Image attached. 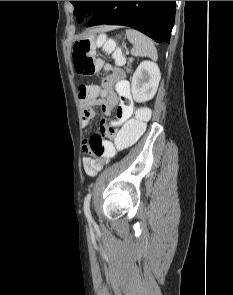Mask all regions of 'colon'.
<instances>
[{
  "instance_id": "1",
  "label": "colon",
  "mask_w": 233,
  "mask_h": 295,
  "mask_svg": "<svg viewBox=\"0 0 233 295\" xmlns=\"http://www.w3.org/2000/svg\"><path fill=\"white\" fill-rule=\"evenodd\" d=\"M95 46L102 48L107 53H113L117 62H121V57L112 40L105 35L87 37L73 45L74 68L78 74L92 76L100 69L101 64L93 56ZM100 90L99 85L81 84L78 88L79 98L95 96L99 94ZM150 117V109L141 107L120 130L109 128L105 133H102L109 140L103 139L100 134H92L88 139L91 154L112 158L118 151L130 147L143 135Z\"/></svg>"
}]
</instances>
